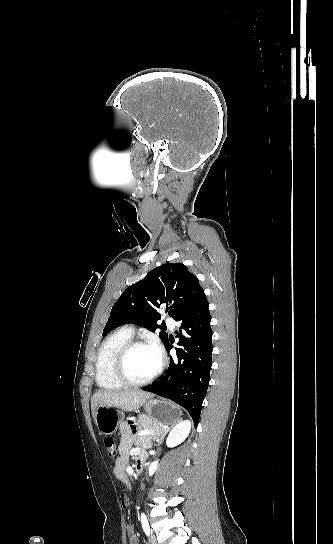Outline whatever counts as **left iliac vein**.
<instances>
[{
  "label": "left iliac vein",
  "instance_id": "obj_1",
  "mask_svg": "<svg viewBox=\"0 0 333 544\" xmlns=\"http://www.w3.org/2000/svg\"><path fill=\"white\" fill-rule=\"evenodd\" d=\"M149 541H150V544H158L157 539L153 533L150 534Z\"/></svg>",
  "mask_w": 333,
  "mask_h": 544
}]
</instances>
